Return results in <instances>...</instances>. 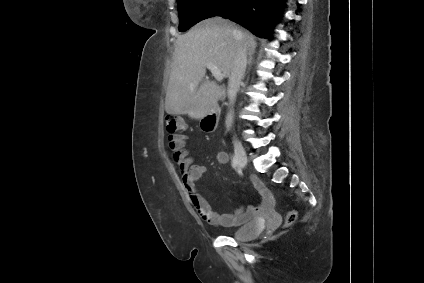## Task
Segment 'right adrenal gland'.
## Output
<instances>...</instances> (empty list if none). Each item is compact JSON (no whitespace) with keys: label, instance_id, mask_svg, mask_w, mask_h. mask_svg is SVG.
<instances>
[{"label":"right adrenal gland","instance_id":"obj_1","mask_svg":"<svg viewBox=\"0 0 424 283\" xmlns=\"http://www.w3.org/2000/svg\"><path fill=\"white\" fill-rule=\"evenodd\" d=\"M254 52L255 51H250L249 52V59H248V62H247V64H248L249 67L252 65V60H253V54H254Z\"/></svg>","mask_w":424,"mask_h":283}]
</instances>
